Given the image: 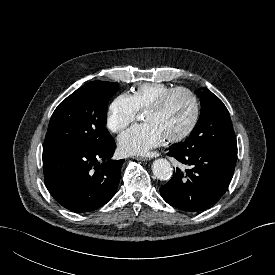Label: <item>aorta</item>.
<instances>
[{"label":"aorta","instance_id":"obj_1","mask_svg":"<svg viewBox=\"0 0 275 275\" xmlns=\"http://www.w3.org/2000/svg\"><path fill=\"white\" fill-rule=\"evenodd\" d=\"M154 176L159 180H169L173 173L170 162L164 158L156 159L152 164Z\"/></svg>","mask_w":275,"mask_h":275}]
</instances>
